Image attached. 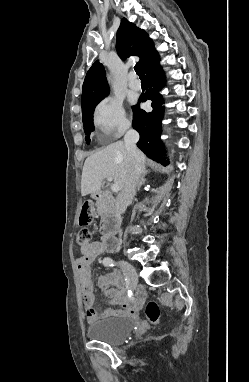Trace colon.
Returning a JSON list of instances; mask_svg holds the SVG:
<instances>
[{
  "label": "colon",
  "mask_w": 249,
  "mask_h": 382,
  "mask_svg": "<svg viewBox=\"0 0 249 382\" xmlns=\"http://www.w3.org/2000/svg\"><path fill=\"white\" fill-rule=\"evenodd\" d=\"M93 221V210L92 204L86 202L82 205L81 213L79 216V224L82 226V229L77 234V243L80 246L86 245L90 242V232L87 229V226ZM145 316L146 321L142 323L143 329H148L150 326L155 325L159 322L160 319V309L158 304L150 300L145 305Z\"/></svg>",
  "instance_id": "colon-1"
}]
</instances>
